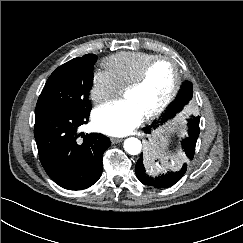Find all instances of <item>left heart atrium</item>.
I'll return each instance as SVG.
<instances>
[{
  "label": "left heart atrium",
  "instance_id": "obj_1",
  "mask_svg": "<svg viewBox=\"0 0 243 243\" xmlns=\"http://www.w3.org/2000/svg\"><path fill=\"white\" fill-rule=\"evenodd\" d=\"M144 118L142 111L126 98L103 105L93 112L95 128L110 136L130 134Z\"/></svg>",
  "mask_w": 243,
  "mask_h": 243
}]
</instances>
